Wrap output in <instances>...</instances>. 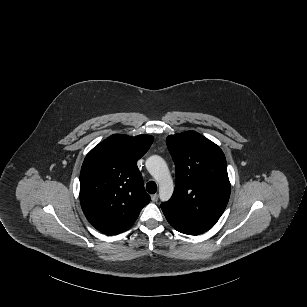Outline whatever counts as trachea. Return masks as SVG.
Masks as SVG:
<instances>
[{
  "label": "trachea",
  "mask_w": 307,
  "mask_h": 307,
  "mask_svg": "<svg viewBox=\"0 0 307 307\" xmlns=\"http://www.w3.org/2000/svg\"><path fill=\"white\" fill-rule=\"evenodd\" d=\"M146 190L150 193V194H154L157 191V185L154 181H149L146 184Z\"/></svg>",
  "instance_id": "3493384b"
}]
</instances>
